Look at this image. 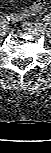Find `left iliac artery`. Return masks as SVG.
<instances>
[{
    "mask_svg": "<svg viewBox=\"0 0 51 153\" xmlns=\"http://www.w3.org/2000/svg\"><path fill=\"white\" fill-rule=\"evenodd\" d=\"M45 21H47L48 23V25H51V23H50V21H51V14H47L46 16H45Z\"/></svg>",
    "mask_w": 51,
    "mask_h": 153,
    "instance_id": "obj_1",
    "label": "left iliac artery"
}]
</instances>
